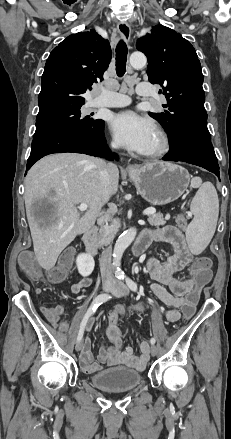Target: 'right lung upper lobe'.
Here are the masks:
<instances>
[{
    "mask_svg": "<svg viewBox=\"0 0 231 439\" xmlns=\"http://www.w3.org/2000/svg\"><path fill=\"white\" fill-rule=\"evenodd\" d=\"M110 61V44L95 30L68 36L46 61L37 118L81 107L85 103L83 94L103 79Z\"/></svg>",
    "mask_w": 231,
    "mask_h": 439,
    "instance_id": "obj_1",
    "label": "right lung upper lobe"
}]
</instances>
